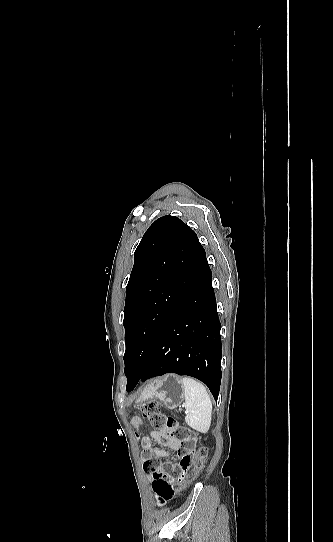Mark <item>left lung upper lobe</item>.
<instances>
[{
  "label": "left lung upper lobe",
  "mask_w": 333,
  "mask_h": 542,
  "mask_svg": "<svg viewBox=\"0 0 333 542\" xmlns=\"http://www.w3.org/2000/svg\"><path fill=\"white\" fill-rule=\"evenodd\" d=\"M206 264L196 233L179 218L163 216L145 232L126 287L127 381L141 374L159 332Z\"/></svg>",
  "instance_id": "left-lung-upper-lobe-1"
}]
</instances>
